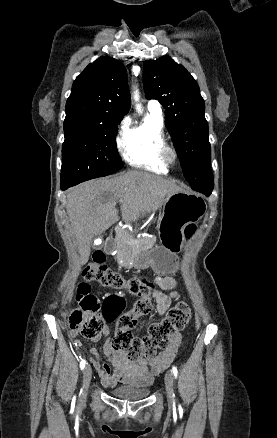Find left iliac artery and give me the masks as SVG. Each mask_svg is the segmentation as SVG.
<instances>
[{
    "label": "left iliac artery",
    "instance_id": "1",
    "mask_svg": "<svg viewBox=\"0 0 277 438\" xmlns=\"http://www.w3.org/2000/svg\"><path fill=\"white\" fill-rule=\"evenodd\" d=\"M172 371H173L174 376L177 377L178 370L175 366L172 367Z\"/></svg>",
    "mask_w": 277,
    "mask_h": 438
}]
</instances>
